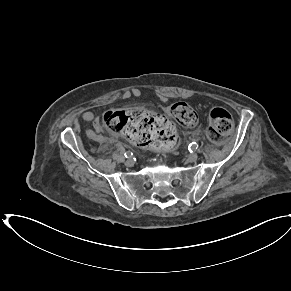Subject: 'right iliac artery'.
<instances>
[{
  "label": "right iliac artery",
  "mask_w": 291,
  "mask_h": 291,
  "mask_svg": "<svg viewBox=\"0 0 291 291\" xmlns=\"http://www.w3.org/2000/svg\"><path fill=\"white\" fill-rule=\"evenodd\" d=\"M132 155H133V153L130 152V151H128V152L125 153V157H126V158H129V157H131Z\"/></svg>",
  "instance_id": "82829eb1"
}]
</instances>
